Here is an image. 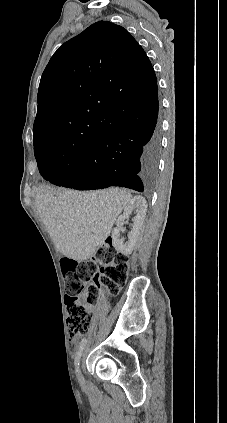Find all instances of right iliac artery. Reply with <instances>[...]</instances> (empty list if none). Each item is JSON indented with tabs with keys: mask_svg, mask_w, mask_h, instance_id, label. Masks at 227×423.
Returning a JSON list of instances; mask_svg holds the SVG:
<instances>
[{
	"mask_svg": "<svg viewBox=\"0 0 227 423\" xmlns=\"http://www.w3.org/2000/svg\"><path fill=\"white\" fill-rule=\"evenodd\" d=\"M86 344H87V340H86V338H83L80 342V345H79V348H78V351H77V354H76V357H75L76 372H78L80 357L82 355V352H83Z\"/></svg>",
	"mask_w": 227,
	"mask_h": 423,
	"instance_id": "obj_1",
	"label": "right iliac artery"
}]
</instances>
